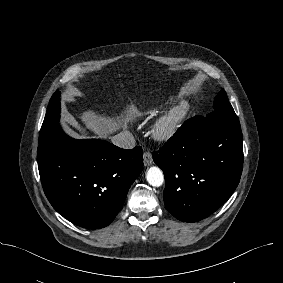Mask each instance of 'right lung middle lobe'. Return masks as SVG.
<instances>
[{
  "label": "right lung middle lobe",
  "mask_w": 283,
  "mask_h": 283,
  "mask_svg": "<svg viewBox=\"0 0 283 283\" xmlns=\"http://www.w3.org/2000/svg\"><path fill=\"white\" fill-rule=\"evenodd\" d=\"M60 92L56 91L49 101L47 112L40 130L39 145L44 144L49 135L55 130L60 118Z\"/></svg>",
  "instance_id": "right-lung-middle-lobe-1"
}]
</instances>
